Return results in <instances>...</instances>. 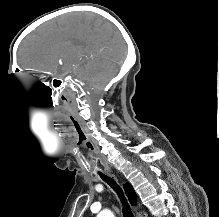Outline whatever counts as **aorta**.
Returning <instances> with one entry per match:
<instances>
[{"label": "aorta", "instance_id": "aorta-1", "mask_svg": "<svg viewBox=\"0 0 219 217\" xmlns=\"http://www.w3.org/2000/svg\"><path fill=\"white\" fill-rule=\"evenodd\" d=\"M97 217H115V216H114V214L110 210L105 209V210L101 211L97 215Z\"/></svg>", "mask_w": 219, "mask_h": 217}]
</instances>
